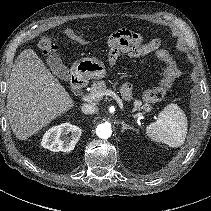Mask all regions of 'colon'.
I'll return each instance as SVG.
<instances>
[{"mask_svg": "<svg viewBox=\"0 0 211 211\" xmlns=\"http://www.w3.org/2000/svg\"><path fill=\"white\" fill-rule=\"evenodd\" d=\"M65 34L79 44L85 42L82 36L71 29L65 30ZM112 40L114 43L109 46L108 51V60L110 64H114L120 53L138 56L152 51H154L157 57L165 63V70L162 78L153 89L144 93V99L149 103L161 101L179 76L180 71L169 53L161 48L160 40L154 39L150 43L143 44L139 34L127 30L118 31L113 36ZM38 47L44 55H51L57 51V46L49 37L41 38Z\"/></svg>", "mask_w": 211, "mask_h": 211, "instance_id": "obj_1", "label": "colon"}]
</instances>
